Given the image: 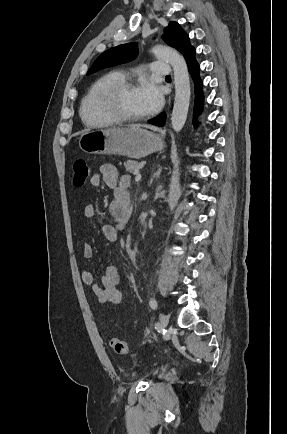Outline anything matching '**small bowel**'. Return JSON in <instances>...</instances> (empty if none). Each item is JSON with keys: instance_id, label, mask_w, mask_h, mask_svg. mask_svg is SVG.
I'll return each instance as SVG.
<instances>
[{"instance_id": "c3829d8e", "label": "small bowel", "mask_w": 287, "mask_h": 434, "mask_svg": "<svg viewBox=\"0 0 287 434\" xmlns=\"http://www.w3.org/2000/svg\"><path fill=\"white\" fill-rule=\"evenodd\" d=\"M90 184L93 187L104 184L114 190V198L109 204V212L114 223H102L100 230L106 240L116 242L126 227L130 213V198L127 192L129 180L126 176H120L114 165L102 164L99 171L92 174ZM83 215L86 219L94 218L96 216V206L93 203L86 204ZM82 252L84 258H92L94 256L92 244L85 243ZM81 276L83 283L91 287L98 302L118 304L124 299V294L117 288L120 278L114 266H106L99 281L89 270H83Z\"/></svg>"}]
</instances>
